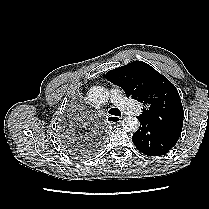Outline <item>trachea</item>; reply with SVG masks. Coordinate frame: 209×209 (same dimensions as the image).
<instances>
[{"label": "trachea", "instance_id": "3493384b", "mask_svg": "<svg viewBox=\"0 0 209 209\" xmlns=\"http://www.w3.org/2000/svg\"><path fill=\"white\" fill-rule=\"evenodd\" d=\"M108 112L109 114L114 115V116H121V112L117 108H111Z\"/></svg>", "mask_w": 209, "mask_h": 209}]
</instances>
